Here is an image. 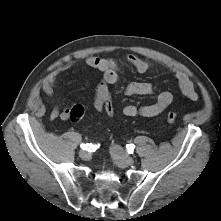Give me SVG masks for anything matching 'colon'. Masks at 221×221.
Wrapping results in <instances>:
<instances>
[{
	"instance_id": "1",
	"label": "colon",
	"mask_w": 221,
	"mask_h": 221,
	"mask_svg": "<svg viewBox=\"0 0 221 221\" xmlns=\"http://www.w3.org/2000/svg\"><path fill=\"white\" fill-rule=\"evenodd\" d=\"M104 104H103V111H104V116L108 118L110 121H115L118 118V113L115 111L116 110V105L113 103L114 99L112 95H105L104 96ZM85 114V108L84 106L77 104L74 105L70 109L69 113V119L72 122H79ZM178 115L174 111H167L165 114V120L168 123H173L177 120Z\"/></svg>"
}]
</instances>
